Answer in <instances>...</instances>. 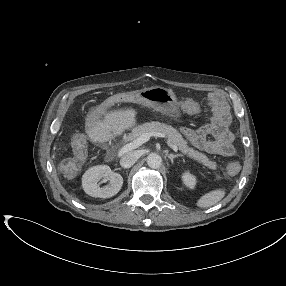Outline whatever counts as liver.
Instances as JSON below:
<instances>
[{"mask_svg":"<svg viewBox=\"0 0 286 286\" xmlns=\"http://www.w3.org/2000/svg\"><path fill=\"white\" fill-rule=\"evenodd\" d=\"M104 119L92 122L86 129L89 140L93 143L109 141L122 134L125 129L132 127L136 122V110L125 108L103 112Z\"/></svg>","mask_w":286,"mask_h":286,"instance_id":"1","label":"liver"}]
</instances>
